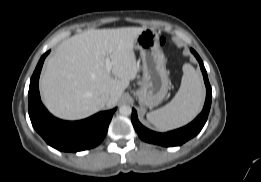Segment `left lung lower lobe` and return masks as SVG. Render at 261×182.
<instances>
[{
  "label": "left lung lower lobe",
  "instance_id": "obj_1",
  "mask_svg": "<svg viewBox=\"0 0 261 182\" xmlns=\"http://www.w3.org/2000/svg\"><path fill=\"white\" fill-rule=\"evenodd\" d=\"M190 50L195 55V57L197 58L200 64V68L203 73L204 82L206 85V91H207L206 100L201 114L187 126H184L180 129L173 130L167 133H157L144 127L137 118L136 110L133 109L131 121L133 123L136 132L138 133L139 137L143 141L152 144H158L161 146H166V147L179 146L185 143L186 141H188L189 139L193 138L194 136H196L201 131L204 124L206 123L209 110L211 107V97H212L211 86L208 81L207 72L201 58L199 57V55L196 53L195 50L193 49Z\"/></svg>",
  "mask_w": 261,
  "mask_h": 182
}]
</instances>
